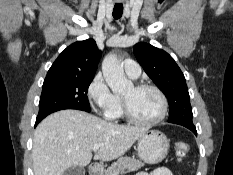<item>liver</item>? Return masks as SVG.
<instances>
[{
  "mask_svg": "<svg viewBox=\"0 0 233 175\" xmlns=\"http://www.w3.org/2000/svg\"><path fill=\"white\" fill-rule=\"evenodd\" d=\"M147 130L107 122L78 110L53 113L35 130L34 175H63L70 167L87 166L95 144H101L95 160H114L125 154Z\"/></svg>",
  "mask_w": 233,
  "mask_h": 175,
  "instance_id": "6515ba94",
  "label": "liver"
}]
</instances>
